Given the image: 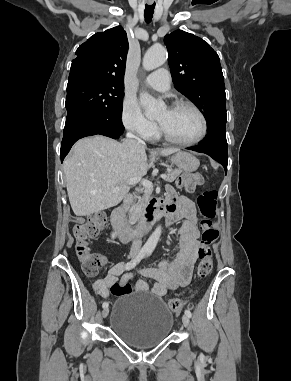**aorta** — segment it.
<instances>
[{
    "label": "aorta",
    "instance_id": "762f6f07",
    "mask_svg": "<svg viewBox=\"0 0 291 381\" xmlns=\"http://www.w3.org/2000/svg\"><path fill=\"white\" fill-rule=\"evenodd\" d=\"M167 59V50L162 46H156L150 48L143 57V67L145 70L150 71L156 69L163 65ZM140 103L145 110V115L148 118L156 117L162 108L164 107V103L161 101H157L148 93L140 94ZM162 233L161 226H158L155 231L151 234L146 242V247L153 250L155 249L159 238Z\"/></svg>",
    "mask_w": 291,
    "mask_h": 381
}]
</instances>
